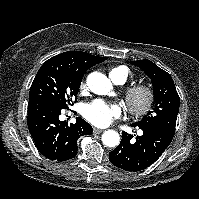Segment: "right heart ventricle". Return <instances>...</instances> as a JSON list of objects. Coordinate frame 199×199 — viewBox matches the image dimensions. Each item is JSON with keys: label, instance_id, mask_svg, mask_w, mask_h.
<instances>
[{"label": "right heart ventricle", "instance_id": "e07e8e85", "mask_svg": "<svg viewBox=\"0 0 199 199\" xmlns=\"http://www.w3.org/2000/svg\"><path fill=\"white\" fill-rule=\"evenodd\" d=\"M111 80L117 85H123L130 77V71L126 66L119 65L109 69Z\"/></svg>", "mask_w": 199, "mask_h": 199}]
</instances>
